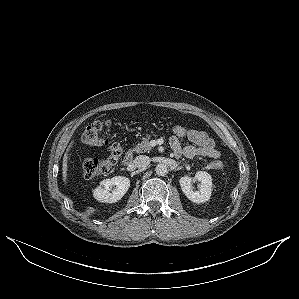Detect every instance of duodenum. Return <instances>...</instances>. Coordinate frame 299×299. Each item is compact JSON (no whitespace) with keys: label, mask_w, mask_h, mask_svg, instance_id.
Wrapping results in <instances>:
<instances>
[{"label":"duodenum","mask_w":299,"mask_h":299,"mask_svg":"<svg viewBox=\"0 0 299 299\" xmlns=\"http://www.w3.org/2000/svg\"><path fill=\"white\" fill-rule=\"evenodd\" d=\"M131 163H132V152L128 151V152L124 155V157H123V159H122V164H123L124 166H128V165H130Z\"/></svg>","instance_id":"410a0bca"}]
</instances>
